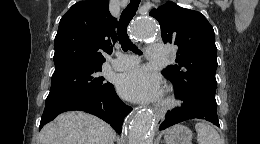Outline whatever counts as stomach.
<instances>
[{
    "label": "stomach",
    "mask_w": 260,
    "mask_h": 144,
    "mask_svg": "<svg viewBox=\"0 0 260 144\" xmlns=\"http://www.w3.org/2000/svg\"><path fill=\"white\" fill-rule=\"evenodd\" d=\"M192 136L189 128L177 124L165 131L164 141L166 144H191Z\"/></svg>",
    "instance_id": "obj_1"
}]
</instances>
